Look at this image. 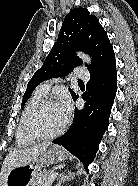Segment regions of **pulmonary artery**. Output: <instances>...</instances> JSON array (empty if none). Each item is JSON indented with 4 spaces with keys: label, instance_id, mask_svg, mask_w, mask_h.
Returning a JSON list of instances; mask_svg holds the SVG:
<instances>
[{
    "label": "pulmonary artery",
    "instance_id": "obj_1",
    "mask_svg": "<svg viewBox=\"0 0 138 186\" xmlns=\"http://www.w3.org/2000/svg\"><path fill=\"white\" fill-rule=\"evenodd\" d=\"M73 75L77 78L86 80L89 77V72L88 70L83 67V66H78L74 69ZM52 82H45L44 84H42L41 86L43 87V89L48 92L52 86Z\"/></svg>",
    "mask_w": 138,
    "mask_h": 186
}]
</instances>
